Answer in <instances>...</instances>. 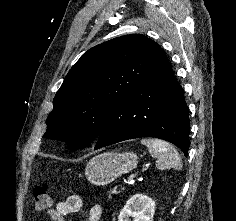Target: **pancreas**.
I'll return each mask as SVG.
<instances>
[{
	"label": "pancreas",
	"mask_w": 236,
	"mask_h": 221,
	"mask_svg": "<svg viewBox=\"0 0 236 221\" xmlns=\"http://www.w3.org/2000/svg\"><path fill=\"white\" fill-rule=\"evenodd\" d=\"M108 193H109V197H111V195L113 194H116L117 193L116 188H114L113 190H110Z\"/></svg>",
	"instance_id": "pancreas-1"
}]
</instances>
